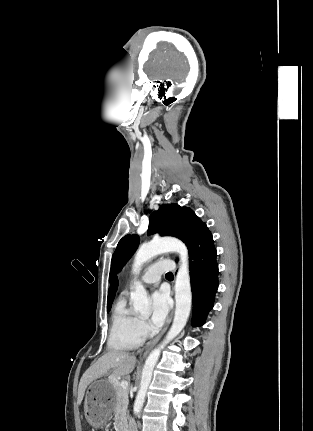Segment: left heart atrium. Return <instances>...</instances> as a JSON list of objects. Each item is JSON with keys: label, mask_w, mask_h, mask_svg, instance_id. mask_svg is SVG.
Returning a JSON list of instances; mask_svg holds the SVG:
<instances>
[{"label": "left heart atrium", "mask_w": 313, "mask_h": 431, "mask_svg": "<svg viewBox=\"0 0 313 431\" xmlns=\"http://www.w3.org/2000/svg\"><path fill=\"white\" fill-rule=\"evenodd\" d=\"M151 312L149 322L152 327H160L169 312L170 301L167 294L163 291H156L151 295Z\"/></svg>", "instance_id": "39dd6f15"}]
</instances>
